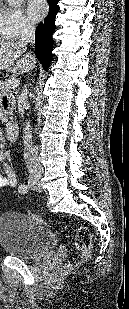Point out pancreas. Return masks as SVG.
<instances>
[{
	"label": "pancreas",
	"instance_id": "obj_1",
	"mask_svg": "<svg viewBox=\"0 0 129 309\" xmlns=\"http://www.w3.org/2000/svg\"><path fill=\"white\" fill-rule=\"evenodd\" d=\"M10 92V88L6 87V81H0V95L2 93H8ZM12 117V112H4L3 110H0V120L2 123H6L8 119Z\"/></svg>",
	"mask_w": 129,
	"mask_h": 309
}]
</instances>
